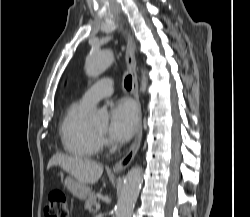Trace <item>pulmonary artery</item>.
Returning <instances> with one entry per match:
<instances>
[{"instance_id":"pulmonary-artery-1","label":"pulmonary artery","mask_w":250,"mask_h":217,"mask_svg":"<svg viewBox=\"0 0 250 217\" xmlns=\"http://www.w3.org/2000/svg\"><path fill=\"white\" fill-rule=\"evenodd\" d=\"M113 80L103 78L92 84L82 95L81 101L89 107H93L100 99L113 93Z\"/></svg>"}]
</instances>
